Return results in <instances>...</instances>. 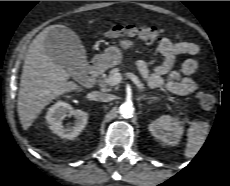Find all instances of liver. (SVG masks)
Listing matches in <instances>:
<instances>
[{
  "instance_id": "6515ba94",
  "label": "liver",
  "mask_w": 230,
  "mask_h": 186,
  "mask_svg": "<svg viewBox=\"0 0 230 186\" xmlns=\"http://www.w3.org/2000/svg\"><path fill=\"white\" fill-rule=\"evenodd\" d=\"M63 25H51L41 31L29 45L26 53L17 111L22 128L27 130L46 105L67 92L82 91L70 74L58 65L46 52L45 38L49 30Z\"/></svg>"
}]
</instances>
